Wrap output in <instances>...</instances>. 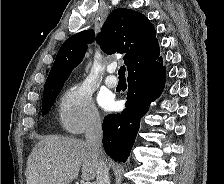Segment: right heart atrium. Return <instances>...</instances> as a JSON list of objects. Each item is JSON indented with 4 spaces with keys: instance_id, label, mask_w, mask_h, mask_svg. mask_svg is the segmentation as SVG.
<instances>
[{
    "instance_id": "d8ad5b80",
    "label": "right heart atrium",
    "mask_w": 224,
    "mask_h": 184,
    "mask_svg": "<svg viewBox=\"0 0 224 184\" xmlns=\"http://www.w3.org/2000/svg\"><path fill=\"white\" fill-rule=\"evenodd\" d=\"M58 117L61 126L73 134L101 126L99 112L90 91L83 83H75L64 91L58 105Z\"/></svg>"
}]
</instances>
